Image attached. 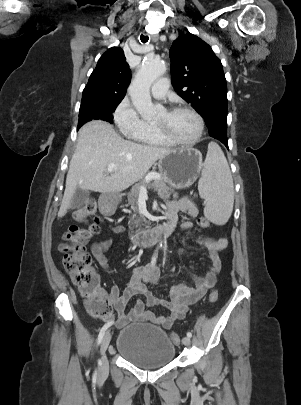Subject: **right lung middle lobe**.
Here are the masks:
<instances>
[{"mask_svg":"<svg viewBox=\"0 0 301 405\" xmlns=\"http://www.w3.org/2000/svg\"><path fill=\"white\" fill-rule=\"evenodd\" d=\"M123 98L91 96L83 98L79 110L78 128L93 119L113 123L112 113Z\"/></svg>","mask_w":301,"mask_h":405,"instance_id":"1","label":"right lung middle lobe"}]
</instances>
